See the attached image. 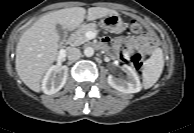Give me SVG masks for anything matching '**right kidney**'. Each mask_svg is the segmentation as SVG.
I'll return each mask as SVG.
<instances>
[{"mask_svg": "<svg viewBox=\"0 0 194 133\" xmlns=\"http://www.w3.org/2000/svg\"><path fill=\"white\" fill-rule=\"evenodd\" d=\"M67 66H52L48 69L42 81V90L47 95L57 93L66 83Z\"/></svg>", "mask_w": 194, "mask_h": 133, "instance_id": "right-kidney-1", "label": "right kidney"}]
</instances>
